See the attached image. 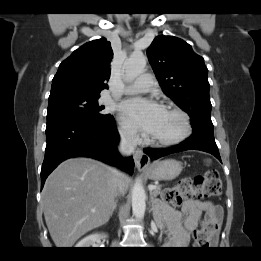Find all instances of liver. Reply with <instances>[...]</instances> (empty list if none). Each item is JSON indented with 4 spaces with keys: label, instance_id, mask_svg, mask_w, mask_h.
I'll use <instances>...</instances> for the list:
<instances>
[{
    "label": "liver",
    "instance_id": "6515ba94",
    "mask_svg": "<svg viewBox=\"0 0 261 261\" xmlns=\"http://www.w3.org/2000/svg\"><path fill=\"white\" fill-rule=\"evenodd\" d=\"M115 172L90 158H71L50 174L42 205L57 248H71L81 236L108 222L117 185ZM129 180L121 175L125 187Z\"/></svg>",
    "mask_w": 261,
    "mask_h": 261
}]
</instances>
